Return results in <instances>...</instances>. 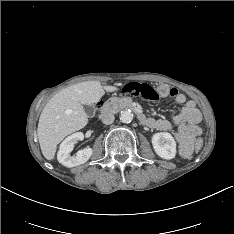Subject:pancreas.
Wrapping results in <instances>:
<instances>
[{
  "mask_svg": "<svg viewBox=\"0 0 234 234\" xmlns=\"http://www.w3.org/2000/svg\"><path fill=\"white\" fill-rule=\"evenodd\" d=\"M115 102H116V99L114 98H111L107 101L106 105H105V108L104 110L107 111V110H112L113 109V106L115 105Z\"/></svg>",
  "mask_w": 234,
  "mask_h": 234,
  "instance_id": "1",
  "label": "pancreas"
}]
</instances>
